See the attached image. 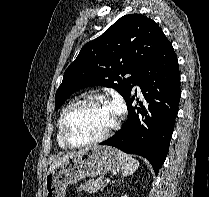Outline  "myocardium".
<instances>
[{
  "label": "myocardium",
  "mask_w": 209,
  "mask_h": 197,
  "mask_svg": "<svg viewBox=\"0 0 209 197\" xmlns=\"http://www.w3.org/2000/svg\"><path fill=\"white\" fill-rule=\"evenodd\" d=\"M95 102L110 103V100L109 98L101 94L88 95L82 98L81 100L77 101L65 114L62 120V125H61V137H62L64 144L67 145L68 147L80 148V147L97 144L99 142L106 140L119 127L120 119L119 117L116 116L114 123L103 134H101L98 137L81 141V142L73 141L70 138L68 128H69L70 121L72 117L74 116V114H76L79 110H81L86 105L95 103Z\"/></svg>",
  "instance_id": "obj_1"
}]
</instances>
